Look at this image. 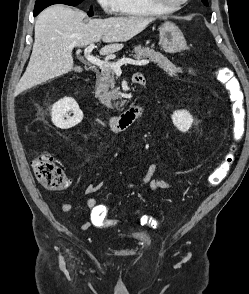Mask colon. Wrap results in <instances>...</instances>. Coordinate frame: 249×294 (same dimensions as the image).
<instances>
[{
  "label": "colon",
  "mask_w": 249,
  "mask_h": 294,
  "mask_svg": "<svg viewBox=\"0 0 249 294\" xmlns=\"http://www.w3.org/2000/svg\"><path fill=\"white\" fill-rule=\"evenodd\" d=\"M216 78L224 86L228 94L233 118L232 133L234 138L239 139L244 132L245 110L244 96L240 86L231 76H227L222 69L215 72ZM231 156H228L218 167L208 176L207 183L210 187L219 185L227 176L231 165ZM32 168L38 182L47 190L60 191L68 187L69 179L64 171L55 164L52 155L43 152L32 161ZM142 223L146 226L155 228L156 221L149 216L142 217Z\"/></svg>",
  "instance_id": "5ec220e1"
}]
</instances>
